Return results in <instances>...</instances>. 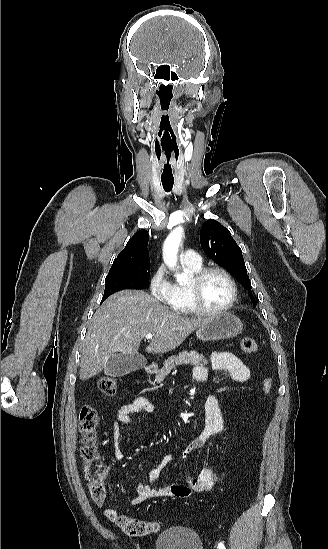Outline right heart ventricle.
<instances>
[{
  "label": "right heart ventricle",
  "instance_id": "right-heart-ventricle-1",
  "mask_svg": "<svg viewBox=\"0 0 328 549\" xmlns=\"http://www.w3.org/2000/svg\"><path fill=\"white\" fill-rule=\"evenodd\" d=\"M184 271L190 277L191 274L197 272L205 264L204 259L199 255L196 261H185L181 259ZM187 283L174 281L170 285V290L163 303H172V310H180V319H196L193 311L188 305L191 304L187 293Z\"/></svg>",
  "mask_w": 328,
  "mask_h": 549
}]
</instances>
